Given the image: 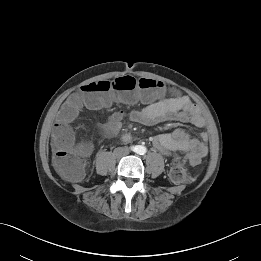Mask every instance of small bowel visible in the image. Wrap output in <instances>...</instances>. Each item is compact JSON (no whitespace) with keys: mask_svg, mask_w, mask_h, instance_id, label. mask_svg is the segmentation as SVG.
Segmentation results:
<instances>
[{"mask_svg":"<svg viewBox=\"0 0 261 261\" xmlns=\"http://www.w3.org/2000/svg\"><path fill=\"white\" fill-rule=\"evenodd\" d=\"M168 93L169 97L149 102L142 109H134L127 113L121 111L111 113L104 124L105 132L112 136L117 135L126 121L147 126H154L164 121H178L190 123L197 128L206 127V119L198 105L175 89H169ZM106 98L109 99L106 105L113 102V96ZM153 144L158 150L168 155L178 151L186 152L189 162L192 165H198L208 153V133L203 130L195 137L183 129H176L171 133L155 136ZM91 151V146L85 148L86 155H89Z\"/></svg>","mask_w":261,"mask_h":261,"instance_id":"c3829d8e","label":"small bowel"}]
</instances>
